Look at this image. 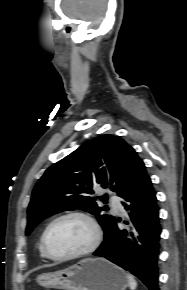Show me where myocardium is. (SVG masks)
Wrapping results in <instances>:
<instances>
[{
	"label": "myocardium",
	"mask_w": 187,
	"mask_h": 290,
	"mask_svg": "<svg viewBox=\"0 0 187 290\" xmlns=\"http://www.w3.org/2000/svg\"><path fill=\"white\" fill-rule=\"evenodd\" d=\"M71 217L80 218L89 225L92 231L91 243L85 249L72 253V254L61 255V256L54 255L51 252L48 245V237H49L50 230L57 222L66 218H71ZM101 238H102V233H101L99 224L97 223L96 219L91 214L82 210H72V211H67L56 216L54 219H52L49 222V224L47 225V227L45 228L43 232L41 243H42L43 251L49 259L54 260V261H67V260L82 258V257L92 254L100 245Z\"/></svg>",
	"instance_id": "1"
}]
</instances>
